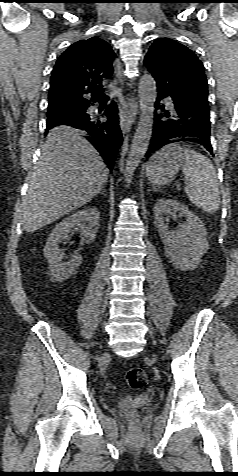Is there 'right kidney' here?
Listing matches in <instances>:
<instances>
[{"label": "right kidney", "instance_id": "1", "mask_svg": "<svg viewBox=\"0 0 238 476\" xmlns=\"http://www.w3.org/2000/svg\"><path fill=\"white\" fill-rule=\"evenodd\" d=\"M99 219L100 213L96 208H87L63 219L52 230L43 251L49 263L50 273L56 281L68 279L82 263V256L79 253L73 255L68 262H62L63 253L59 243L73 230L80 231L83 242H92L99 228Z\"/></svg>", "mask_w": 238, "mask_h": 476}]
</instances>
